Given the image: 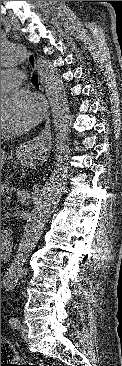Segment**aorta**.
I'll return each mask as SVG.
<instances>
[{"label":"aorta","mask_w":122,"mask_h":366,"mask_svg":"<svg viewBox=\"0 0 122 366\" xmlns=\"http://www.w3.org/2000/svg\"><path fill=\"white\" fill-rule=\"evenodd\" d=\"M27 60V45L22 43L1 44V68L15 67ZM37 68L43 77L59 146L56 163L34 202L33 210L19 243L18 253L14 260L15 277L22 272L21 265L26 260L28 252L38 243L48 219L65 190V183L70 173L68 141L71 116L65 86L57 70L47 58L39 56ZM6 104L7 100L1 96V108L3 109Z\"/></svg>","instance_id":"762f6f07"}]
</instances>
